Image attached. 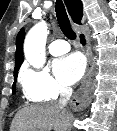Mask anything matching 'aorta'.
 I'll return each instance as SVG.
<instances>
[{
  "instance_id": "obj_1",
  "label": "aorta",
  "mask_w": 117,
  "mask_h": 131,
  "mask_svg": "<svg viewBox=\"0 0 117 131\" xmlns=\"http://www.w3.org/2000/svg\"><path fill=\"white\" fill-rule=\"evenodd\" d=\"M49 34L48 25L41 21L34 25L24 41V55L31 66L41 68L46 61L45 45Z\"/></svg>"
}]
</instances>
